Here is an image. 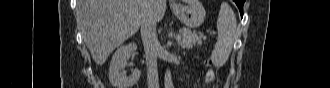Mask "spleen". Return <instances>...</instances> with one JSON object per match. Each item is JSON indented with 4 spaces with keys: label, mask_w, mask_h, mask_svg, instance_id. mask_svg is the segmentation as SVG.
Listing matches in <instances>:
<instances>
[{
    "label": "spleen",
    "mask_w": 330,
    "mask_h": 88,
    "mask_svg": "<svg viewBox=\"0 0 330 88\" xmlns=\"http://www.w3.org/2000/svg\"><path fill=\"white\" fill-rule=\"evenodd\" d=\"M218 41L212 52V63L223 66L229 58L233 44L238 39L236 17L228 3L223 2L217 20Z\"/></svg>",
    "instance_id": "spleen-1"
}]
</instances>
